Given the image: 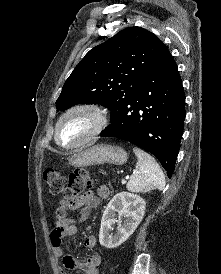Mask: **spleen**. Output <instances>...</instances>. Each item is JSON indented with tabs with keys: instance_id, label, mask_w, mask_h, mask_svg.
Returning <instances> with one entry per match:
<instances>
[{
	"instance_id": "spleen-1",
	"label": "spleen",
	"mask_w": 221,
	"mask_h": 274,
	"mask_svg": "<svg viewBox=\"0 0 221 274\" xmlns=\"http://www.w3.org/2000/svg\"><path fill=\"white\" fill-rule=\"evenodd\" d=\"M133 152L138 161L127 183L128 191L145 193L154 189L163 190L166 185L165 175L156 160L137 147L133 148Z\"/></svg>"
}]
</instances>
